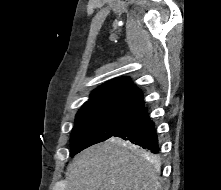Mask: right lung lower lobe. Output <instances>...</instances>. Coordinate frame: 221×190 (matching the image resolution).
<instances>
[{"instance_id": "1", "label": "right lung lower lobe", "mask_w": 221, "mask_h": 190, "mask_svg": "<svg viewBox=\"0 0 221 190\" xmlns=\"http://www.w3.org/2000/svg\"><path fill=\"white\" fill-rule=\"evenodd\" d=\"M113 136L128 140L148 152L160 151L154 122L147 107L140 108Z\"/></svg>"}]
</instances>
